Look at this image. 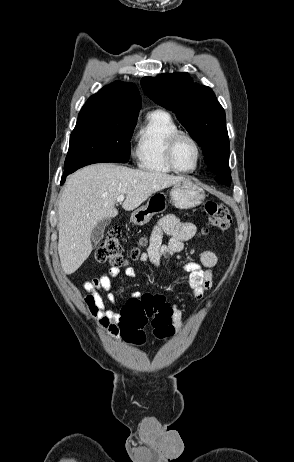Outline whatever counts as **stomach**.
<instances>
[{
    "label": "stomach",
    "instance_id": "stomach-1",
    "mask_svg": "<svg viewBox=\"0 0 294 462\" xmlns=\"http://www.w3.org/2000/svg\"><path fill=\"white\" fill-rule=\"evenodd\" d=\"M172 204L179 209H190L200 205L205 199L204 190L192 182L185 179L173 185L170 191ZM167 208L166 196L162 192L154 193L144 206L136 209L131 214V222L135 225L148 223L155 214L162 213Z\"/></svg>",
    "mask_w": 294,
    "mask_h": 462
}]
</instances>
